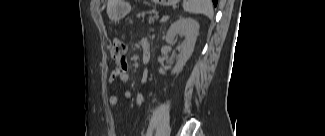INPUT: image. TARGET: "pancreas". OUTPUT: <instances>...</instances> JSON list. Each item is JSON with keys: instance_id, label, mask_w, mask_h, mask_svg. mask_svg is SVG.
I'll return each instance as SVG.
<instances>
[{"instance_id": "pancreas-1", "label": "pancreas", "mask_w": 325, "mask_h": 136, "mask_svg": "<svg viewBox=\"0 0 325 136\" xmlns=\"http://www.w3.org/2000/svg\"><path fill=\"white\" fill-rule=\"evenodd\" d=\"M158 10L155 8V6L145 5L142 12H137L136 17L137 19H140V23L142 24H157L158 18L152 17L157 16Z\"/></svg>"}]
</instances>
